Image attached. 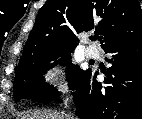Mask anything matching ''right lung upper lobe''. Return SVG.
<instances>
[{"label": "right lung upper lobe", "mask_w": 142, "mask_h": 119, "mask_svg": "<svg viewBox=\"0 0 142 119\" xmlns=\"http://www.w3.org/2000/svg\"><path fill=\"white\" fill-rule=\"evenodd\" d=\"M94 28L103 35L102 49L141 36L138 0H47L37 14L17 69L44 55L74 50L79 41L76 34Z\"/></svg>", "instance_id": "obj_1"}]
</instances>
